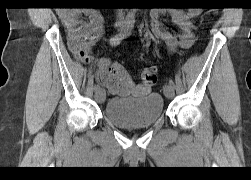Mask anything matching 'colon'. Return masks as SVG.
<instances>
[{
	"mask_svg": "<svg viewBox=\"0 0 251 180\" xmlns=\"http://www.w3.org/2000/svg\"><path fill=\"white\" fill-rule=\"evenodd\" d=\"M140 79L143 86L151 88L157 82V73L153 68H144L140 72Z\"/></svg>",
	"mask_w": 251,
	"mask_h": 180,
	"instance_id": "colon-1",
	"label": "colon"
}]
</instances>
